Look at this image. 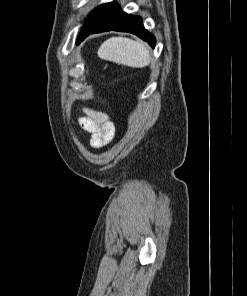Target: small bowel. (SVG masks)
<instances>
[{
    "label": "small bowel",
    "mask_w": 247,
    "mask_h": 296,
    "mask_svg": "<svg viewBox=\"0 0 247 296\" xmlns=\"http://www.w3.org/2000/svg\"><path fill=\"white\" fill-rule=\"evenodd\" d=\"M79 124L83 130L91 134L90 144L100 148L109 143L115 132V126L109 115L90 108L82 109Z\"/></svg>",
    "instance_id": "c3829d8e"
}]
</instances>
